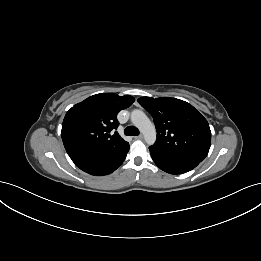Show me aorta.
Here are the masks:
<instances>
[{"label":"aorta","instance_id":"obj_1","mask_svg":"<svg viewBox=\"0 0 261 261\" xmlns=\"http://www.w3.org/2000/svg\"><path fill=\"white\" fill-rule=\"evenodd\" d=\"M131 121L142 132L146 143L149 145L154 144L156 140L155 128L146 114L141 110H133Z\"/></svg>","mask_w":261,"mask_h":261}]
</instances>
